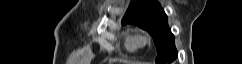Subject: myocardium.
Returning a JSON list of instances; mask_svg holds the SVG:
<instances>
[{
  "mask_svg": "<svg viewBox=\"0 0 242 64\" xmlns=\"http://www.w3.org/2000/svg\"><path fill=\"white\" fill-rule=\"evenodd\" d=\"M138 45L144 46L148 43V37L145 35H140L137 37Z\"/></svg>",
  "mask_w": 242,
  "mask_h": 64,
  "instance_id": "myocardium-1",
  "label": "myocardium"
}]
</instances>
